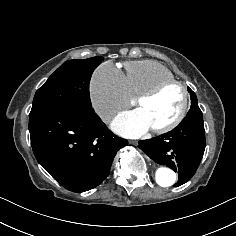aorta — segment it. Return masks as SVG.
<instances>
[{
	"mask_svg": "<svg viewBox=\"0 0 236 236\" xmlns=\"http://www.w3.org/2000/svg\"><path fill=\"white\" fill-rule=\"evenodd\" d=\"M177 175L170 168L161 165L155 174V179L158 185L161 187L172 186L176 181Z\"/></svg>",
	"mask_w": 236,
	"mask_h": 236,
	"instance_id": "aorta-1",
	"label": "aorta"
}]
</instances>
